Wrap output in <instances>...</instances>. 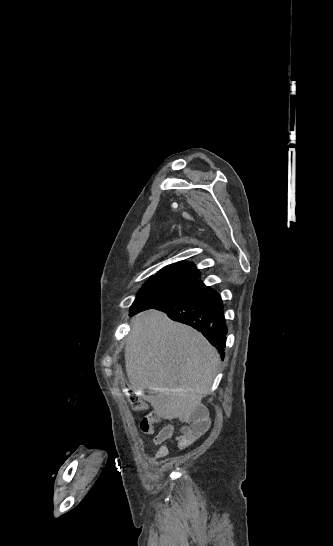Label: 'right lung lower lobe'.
Instances as JSON below:
<instances>
[{
    "label": "right lung lower lobe",
    "instance_id": "98d812e1",
    "mask_svg": "<svg viewBox=\"0 0 333 546\" xmlns=\"http://www.w3.org/2000/svg\"><path fill=\"white\" fill-rule=\"evenodd\" d=\"M153 308L165 312L175 321L190 325L200 331L217 348L221 357H224L227 326L222 299L212 288L201 284L192 293L161 303ZM143 310L130 311V316Z\"/></svg>",
    "mask_w": 333,
    "mask_h": 546
}]
</instances>
